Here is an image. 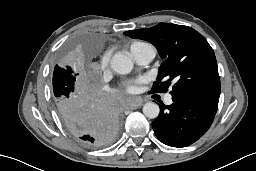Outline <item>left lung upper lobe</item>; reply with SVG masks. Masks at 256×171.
Masks as SVG:
<instances>
[{
	"label": "left lung upper lobe",
	"instance_id": "1",
	"mask_svg": "<svg viewBox=\"0 0 256 171\" xmlns=\"http://www.w3.org/2000/svg\"><path fill=\"white\" fill-rule=\"evenodd\" d=\"M124 34L152 43L165 59L152 93H164L173 83L171 95L192 92L219 98L221 85L215 54L196 30L183 25L159 23Z\"/></svg>",
	"mask_w": 256,
	"mask_h": 171
}]
</instances>
